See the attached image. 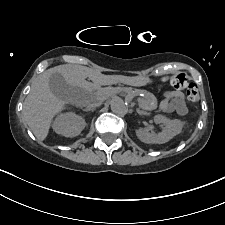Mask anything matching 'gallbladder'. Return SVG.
Listing matches in <instances>:
<instances>
[{"label":"gallbladder","instance_id":"1","mask_svg":"<svg viewBox=\"0 0 225 225\" xmlns=\"http://www.w3.org/2000/svg\"><path fill=\"white\" fill-rule=\"evenodd\" d=\"M51 92L64 102H75L80 93L84 90L72 86L66 82L60 73H53L49 78Z\"/></svg>","mask_w":225,"mask_h":225}]
</instances>
